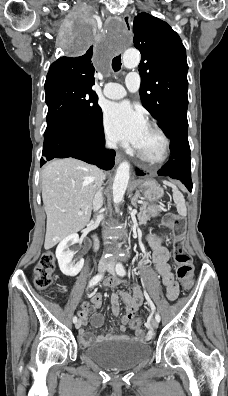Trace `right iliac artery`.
<instances>
[{"mask_svg": "<svg viewBox=\"0 0 228 396\" xmlns=\"http://www.w3.org/2000/svg\"><path fill=\"white\" fill-rule=\"evenodd\" d=\"M102 277H103V274H98V275L94 276L89 282V287L95 286L102 279ZM73 322L74 323L77 322L76 316L73 317Z\"/></svg>", "mask_w": 228, "mask_h": 396, "instance_id": "obj_1", "label": "right iliac artery"}]
</instances>
